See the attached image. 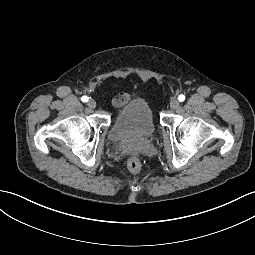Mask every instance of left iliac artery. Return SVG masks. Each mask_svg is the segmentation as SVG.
Listing matches in <instances>:
<instances>
[{
  "label": "left iliac artery",
  "mask_w": 255,
  "mask_h": 255,
  "mask_svg": "<svg viewBox=\"0 0 255 255\" xmlns=\"http://www.w3.org/2000/svg\"><path fill=\"white\" fill-rule=\"evenodd\" d=\"M178 100L181 101V102L184 101L185 100V96L182 95V94L179 95Z\"/></svg>",
  "instance_id": "44dca946"
}]
</instances>
